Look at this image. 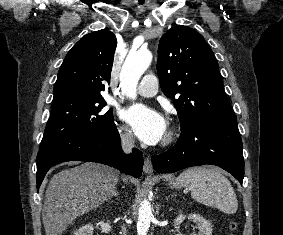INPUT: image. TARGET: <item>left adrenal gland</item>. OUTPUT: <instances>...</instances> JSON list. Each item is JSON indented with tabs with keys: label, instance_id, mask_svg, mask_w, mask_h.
I'll use <instances>...</instances> for the list:
<instances>
[{
	"label": "left adrenal gland",
	"instance_id": "1",
	"mask_svg": "<svg viewBox=\"0 0 283 235\" xmlns=\"http://www.w3.org/2000/svg\"><path fill=\"white\" fill-rule=\"evenodd\" d=\"M170 196H176V194L175 193H172ZM170 196H168V197H170ZM168 197L166 198V199H168Z\"/></svg>",
	"mask_w": 283,
	"mask_h": 235
}]
</instances>
